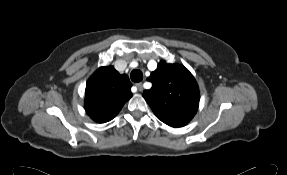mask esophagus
Wrapping results in <instances>:
<instances>
[{"label":"esophagus","instance_id":"esophagus-1","mask_svg":"<svg viewBox=\"0 0 287 175\" xmlns=\"http://www.w3.org/2000/svg\"><path fill=\"white\" fill-rule=\"evenodd\" d=\"M135 85H136V87H137V89H138L139 91H142V90H143V85H142L141 82H140V83H136Z\"/></svg>","mask_w":287,"mask_h":175}]
</instances>
